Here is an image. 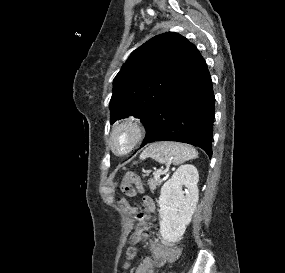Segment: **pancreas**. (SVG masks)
<instances>
[{"instance_id": "pancreas-1", "label": "pancreas", "mask_w": 285, "mask_h": 273, "mask_svg": "<svg viewBox=\"0 0 285 273\" xmlns=\"http://www.w3.org/2000/svg\"><path fill=\"white\" fill-rule=\"evenodd\" d=\"M161 184H162L161 179H150V180H148V185H149L151 190H155Z\"/></svg>"}]
</instances>
